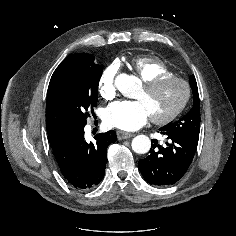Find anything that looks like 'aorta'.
<instances>
[{
  "label": "aorta",
  "mask_w": 236,
  "mask_h": 236,
  "mask_svg": "<svg viewBox=\"0 0 236 236\" xmlns=\"http://www.w3.org/2000/svg\"><path fill=\"white\" fill-rule=\"evenodd\" d=\"M117 87L124 96L130 97L136 83L129 76L122 75L117 81ZM131 146L135 153L145 154L151 148V141L146 135H138L132 140Z\"/></svg>",
  "instance_id": "1"
}]
</instances>
